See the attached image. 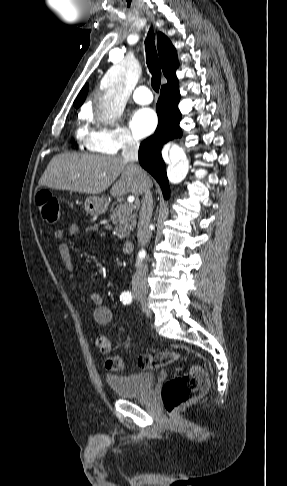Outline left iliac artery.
Masks as SVG:
<instances>
[{
  "mask_svg": "<svg viewBox=\"0 0 287 486\" xmlns=\"http://www.w3.org/2000/svg\"><path fill=\"white\" fill-rule=\"evenodd\" d=\"M122 302H123L124 304H129V303H131V300H123Z\"/></svg>",
  "mask_w": 287,
  "mask_h": 486,
  "instance_id": "1",
  "label": "left iliac artery"
}]
</instances>
